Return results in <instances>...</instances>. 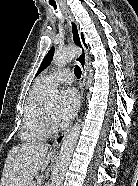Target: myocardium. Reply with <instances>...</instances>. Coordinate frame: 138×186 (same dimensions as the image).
Returning <instances> with one entry per match:
<instances>
[{
  "label": "myocardium",
  "instance_id": "myocardium-1",
  "mask_svg": "<svg viewBox=\"0 0 138 186\" xmlns=\"http://www.w3.org/2000/svg\"><path fill=\"white\" fill-rule=\"evenodd\" d=\"M43 124L49 132L57 131V126L49 115L47 108H45L43 112Z\"/></svg>",
  "mask_w": 138,
  "mask_h": 186
}]
</instances>
